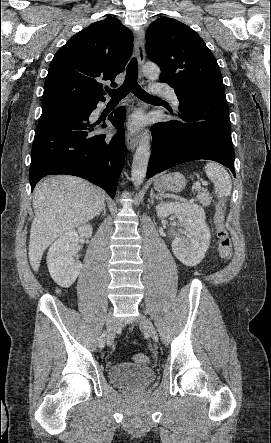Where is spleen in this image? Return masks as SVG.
<instances>
[{
  "instance_id": "3e777b00",
  "label": "spleen",
  "mask_w": 271,
  "mask_h": 443,
  "mask_svg": "<svg viewBox=\"0 0 271 443\" xmlns=\"http://www.w3.org/2000/svg\"><path fill=\"white\" fill-rule=\"evenodd\" d=\"M205 172L206 176L214 184V192L217 198H227V196H230L232 190L231 178L222 166L214 164V162H208L205 166Z\"/></svg>"
}]
</instances>
